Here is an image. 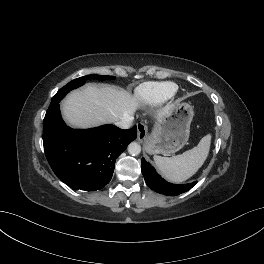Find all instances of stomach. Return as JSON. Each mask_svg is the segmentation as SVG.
I'll return each instance as SVG.
<instances>
[{
    "mask_svg": "<svg viewBox=\"0 0 264 264\" xmlns=\"http://www.w3.org/2000/svg\"><path fill=\"white\" fill-rule=\"evenodd\" d=\"M194 115L188 103H175L160 117L152 134L145 142L149 154H171L180 150L188 141L190 124Z\"/></svg>",
    "mask_w": 264,
    "mask_h": 264,
    "instance_id": "obj_1",
    "label": "stomach"
}]
</instances>
